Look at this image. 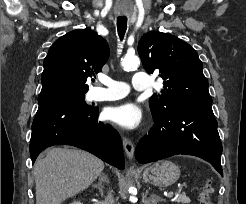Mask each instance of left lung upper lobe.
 Returning a JSON list of instances; mask_svg holds the SVG:
<instances>
[{"instance_id": "1", "label": "left lung upper lobe", "mask_w": 246, "mask_h": 204, "mask_svg": "<svg viewBox=\"0 0 246 204\" xmlns=\"http://www.w3.org/2000/svg\"><path fill=\"white\" fill-rule=\"evenodd\" d=\"M138 53L148 73L159 71L164 81L162 94L150 97L153 118L175 106L211 105L208 81L196 51L179 38L162 32H148L138 44Z\"/></svg>"}]
</instances>
